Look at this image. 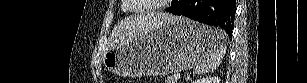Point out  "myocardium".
Returning a JSON list of instances; mask_svg holds the SVG:
<instances>
[{"instance_id":"myocardium-1","label":"myocardium","mask_w":307,"mask_h":83,"mask_svg":"<svg viewBox=\"0 0 307 83\" xmlns=\"http://www.w3.org/2000/svg\"><path fill=\"white\" fill-rule=\"evenodd\" d=\"M126 2H128L126 8L132 12H135V13H149V12H154V11H157V10H161L164 8L165 4L170 2L171 0H160V3L159 4H153V5H149L147 7H144V8H135L132 3H131V0H124Z\"/></svg>"}]
</instances>
